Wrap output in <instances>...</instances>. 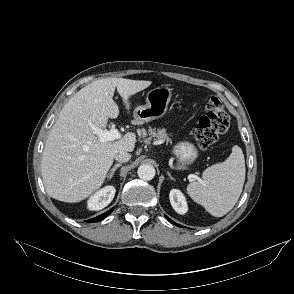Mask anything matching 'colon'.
Masks as SVG:
<instances>
[{
    "label": "colon",
    "instance_id": "colon-1",
    "mask_svg": "<svg viewBox=\"0 0 294 294\" xmlns=\"http://www.w3.org/2000/svg\"><path fill=\"white\" fill-rule=\"evenodd\" d=\"M230 127V117L219 98L212 96L206 104L205 114L195 128V140L201 150L208 149Z\"/></svg>",
    "mask_w": 294,
    "mask_h": 294
}]
</instances>
